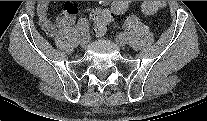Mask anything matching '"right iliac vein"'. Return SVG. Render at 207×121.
I'll return each mask as SVG.
<instances>
[{"label":"right iliac vein","instance_id":"1","mask_svg":"<svg viewBox=\"0 0 207 121\" xmlns=\"http://www.w3.org/2000/svg\"><path fill=\"white\" fill-rule=\"evenodd\" d=\"M89 40L86 36H84L81 40H80V46L82 48H86L88 46Z\"/></svg>","mask_w":207,"mask_h":121}]
</instances>
